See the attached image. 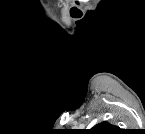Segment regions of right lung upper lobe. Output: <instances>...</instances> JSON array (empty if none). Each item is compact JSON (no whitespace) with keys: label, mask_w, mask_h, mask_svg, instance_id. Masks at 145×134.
Returning a JSON list of instances; mask_svg holds the SVG:
<instances>
[{"label":"right lung upper lobe","mask_w":145,"mask_h":134,"mask_svg":"<svg viewBox=\"0 0 145 134\" xmlns=\"http://www.w3.org/2000/svg\"><path fill=\"white\" fill-rule=\"evenodd\" d=\"M118 127L114 126L106 121L101 122L97 125H95L90 132L93 134H113L118 132Z\"/></svg>","instance_id":"1"}]
</instances>
